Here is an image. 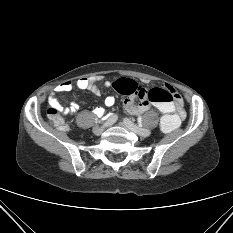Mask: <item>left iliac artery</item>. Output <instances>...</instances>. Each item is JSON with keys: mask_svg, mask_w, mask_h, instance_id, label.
<instances>
[{"mask_svg": "<svg viewBox=\"0 0 233 233\" xmlns=\"http://www.w3.org/2000/svg\"><path fill=\"white\" fill-rule=\"evenodd\" d=\"M125 120H127L125 122L127 125L135 129L136 131L140 132V134H142L143 136L150 135L149 129H141L140 127H137L134 123L132 124L129 119L126 118Z\"/></svg>", "mask_w": 233, "mask_h": 233, "instance_id": "44dca946", "label": "left iliac artery"}]
</instances>
